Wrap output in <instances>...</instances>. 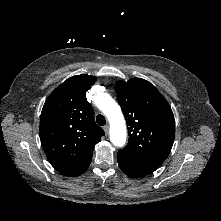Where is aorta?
<instances>
[{"mask_svg": "<svg viewBox=\"0 0 221 221\" xmlns=\"http://www.w3.org/2000/svg\"><path fill=\"white\" fill-rule=\"evenodd\" d=\"M98 107L109 120L112 144L122 147L126 142L127 130L120 106L112 98L105 97L98 103Z\"/></svg>", "mask_w": 221, "mask_h": 221, "instance_id": "obj_1", "label": "aorta"}]
</instances>
